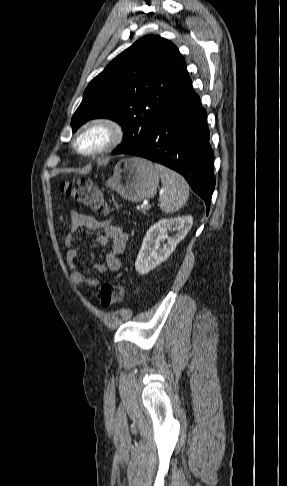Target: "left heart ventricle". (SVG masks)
Here are the masks:
<instances>
[{
  "mask_svg": "<svg viewBox=\"0 0 287 486\" xmlns=\"http://www.w3.org/2000/svg\"><path fill=\"white\" fill-rule=\"evenodd\" d=\"M106 141V134L104 131L95 129L87 134H85L80 140H79V147L82 150H94L100 146H102Z\"/></svg>",
  "mask_w": 287,
  "mask_h": 486,
  "instance_id": "obj_1",
  "label": "left heart ventricle"
}]
</instances>
